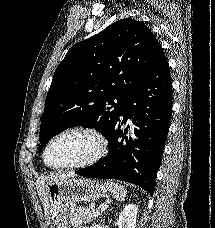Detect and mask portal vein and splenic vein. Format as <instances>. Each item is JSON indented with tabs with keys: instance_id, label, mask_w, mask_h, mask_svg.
I'll use <instances>...</instances> for the list:
<instances>
[{
	"instance_id": "portal-vein-and-splenic-vein-1",
	"label": "portal vein and splenic vein",
	"mask_w": 215,
	"mask_h": 228,
	"mask_svg": "<svg viewBox=\"0 0 215 228\" xmlns=\"http://www.w3.org/2000/svg\"><path fill=\"white\" fill-rule=\"evenodd\" d=\"M107 208H108V206H99L98 210H102V212H103V210H107ZM89 210H90V208H89Z\"/></svg>"
}]
</instances>
